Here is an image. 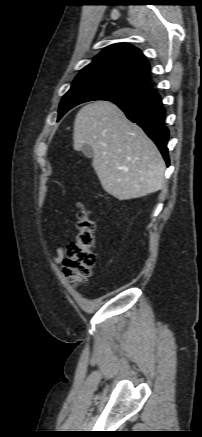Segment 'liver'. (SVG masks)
<instances>
[{"label": "liver", "instance_id": "6515ba94", "mask_svg": "<svg viewBox=\"0 0 202 437\" xmlns=\"http://www.w3.org/2000/svg\"><path fill=\"white\" fill-rule=\"evenodd\" d=\"M89 145L103 189L118 200L147 196L164 184L165 162L154 142L109 101L82 107L73 128V147Z\"/></svg>", "mask_w": 202, "mask_h": 437}]
</instances>
